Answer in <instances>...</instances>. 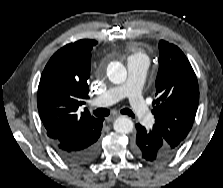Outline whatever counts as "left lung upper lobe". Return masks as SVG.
I'll return each instance as SVG.
<instances>
[{"label": "left lung upper lobe", "mask_w": 223, "mask_h": 188, "mask_svg": "<svg viewBox=\"0 0 223 188\" xmlns=\"http://www.w3.org/2000/svg\"><path fill=\"white\" fill-rule=\"evenodd\" d=\"M159 51L153 129L175 154L193 125L199 86L191 64L177 46L161 40Z\"/></svg>", "instance_id": "obj_1"}]
</instances>
